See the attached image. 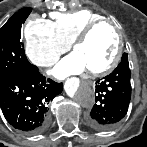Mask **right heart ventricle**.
I'll return each instance as SVG.
<instances>
[{
    "label": "right heart ventricle",
    "instance_id": "e07e8e85",
    "mask_svg": "<svg viewBox=\"0 0 147 147\" xmlns=\"http://www.w3.org/2000/svg\"><path fill=\"white\" fill-rule=\"evenodd\" d=\"M55 36L59 41L71 43L77 34L90 23L103 17L90 10L78 9L69 12H54L51 14Z\"/></svg>",
    "mask_w": 147,
    "mask_h": 147
}]
</instances>
